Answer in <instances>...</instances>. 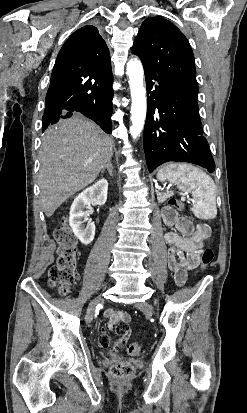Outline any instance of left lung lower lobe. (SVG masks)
<instances>
[{
	"instance_id": "obj_1",
	"label": "left lung lower lobe",
	"mask_w": 247,
	"mask_h": 413,
	"mask_svg": "<svg viewBox=\"0 0 247 413\" xmlns=\"http://www.w3.org/2000/svg\"><path fill=\"white\" fill-rule=\"evenodd\" d=\"M147 85V118L144 151L150 172L168 161L200 165L215 170L194 91L158 75L144 66Z\"/></svg>"
}]
</instances>
